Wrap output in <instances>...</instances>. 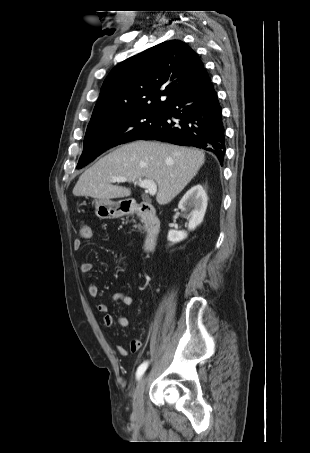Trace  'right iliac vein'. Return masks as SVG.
Masks as SVG:
<instances>
[{"label":"right iliac vein","mask_w":310,"mask_h":453,"mask_svg":"<svg viewBox=\"0 0 310 453\" xmlns=\"http://www.w3.org/2000/svg\"><path fill=\"white\" fill-rule=\"evenodd\" d=\"M146 385V376H143L138 383L134 394L133 410L136 416H141L143 413V396Z\"/></svg>","instance_id":"63e3f726"}]
</instances>
